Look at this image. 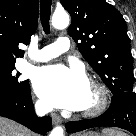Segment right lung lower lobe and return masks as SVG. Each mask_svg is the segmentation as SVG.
Instances as JSON below:
<instances>
[{"mask_svg":"<svg viewBox=\"0 0 136 136\" xmlns=\"http://www.w3.org/2000/svg\"><path fill=\"white\" fill-rule=\"evenodd\" d=\"M0 116L12 119L43 135L52 127L50 117L40 119L35 116L29 84L17 94L0 95Z\"/></svg>","mask_w":136,"mask_h":136,"instance_id":"right-lung-lower-lobe-1","label":"right lung lower lobe"}]
</instances>
